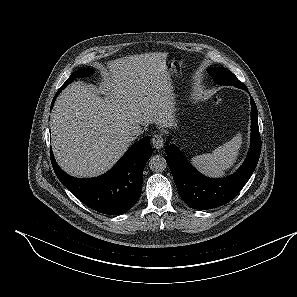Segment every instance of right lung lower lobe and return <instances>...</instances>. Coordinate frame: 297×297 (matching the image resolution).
Segmentation results:
<instances>
[{
    "label": "right lung lower lobe",
    "mask_w": 297,
    "mask_h": 297,
    "mask_svg": "<svg viewBox=\"0 0 297 297\" xmlns=\"http://www.w3.org/2000/svg\"><path fill=\"white\" fill-rule=\"evenodd\" d=\"M56 93L51 108L58 94ZM149 138L132 145L114 167L102 176L89 179L74 178L56 163L51 151V163L60 182L89 208L108 215H121L138 201L142 192L143 169L152 155Z\"/></svg>",
    "instance_id": "right-lung-lower-lobe-1"
}]
</instances>
